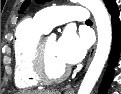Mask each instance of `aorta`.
Segmentation results:
<instances>
[{"instance_id":"762f6f07","label":"aorta","mask_w":121,"mask_h":94,"mask_svg":"<svg viewBox=\"0 0 121 94\" xmlns=\"http://www.w3.org/2000/svg\"><path fill=\"white\" fill-rule=\"evenodd\" d=\"M72 1L88 8L93 14L97 26L98 44L96 53L78 90V94H90L110 53L112 42L111 21L102 0Z\"/></svg>"}]
</instances>
